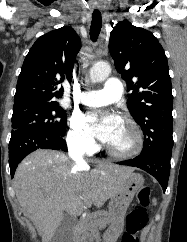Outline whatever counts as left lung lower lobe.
Returning <instances> with one entry per match:
<instances>
[{
    "label": "left lung lower lobe",
    "mask_w": 187,
    "mask_h": 242,
    "mask_svg": "<svg viewBox=\"0 0 187 242\" xmlns=\"http://www.w3.org/2000/svg\"><path fill=\"white\" fill-rule=\"evenodd\" d=\"M172 149L150 154H140L134 159L118 162L117 164L138 167L154 176L166 191L170 174Z\"/></svg>",
    "instance_id": "0a47b994"
}]
</instances>
